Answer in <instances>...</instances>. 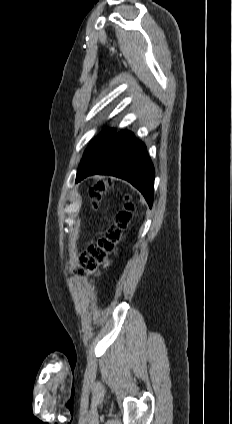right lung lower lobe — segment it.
<instances>
[{"mask_svg": "<svg viewBox=\"0 0 232 424\" xmlns=\"http://www.w3.org/2000/svg\"><path fill=\"white\" fill-rule=\"evenodd\" d=\"M93 174L112 175L130 182L152 207L154 167L146 146L131 132L121 131L111 136L97 156L76 177V182Z\"/></svg>", "mask_w": 232, "mask_h": 424, "instance_id": "1", "label": "right lung lower lobe"}]
</instances>
